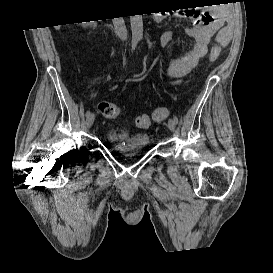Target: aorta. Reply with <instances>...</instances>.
I'll list each match as a JSON object with an SVG mask.
<instances>
[{
  "label": "aorta",
  "instance_id": "aorta-1",
  "mask_svg": "<svg viewBox=\"0 0 273 273\" xmlns=\"http://www.w3.org/2000/svg\"><path fill=\"white\" fill-rule=\"evenodd\" d=\"M132 40L140 41L143 38V19L142 15L130 16Z\"/></svg>",
  "mask_w": 273,
  "mask_h": 273
}]
</instances>
